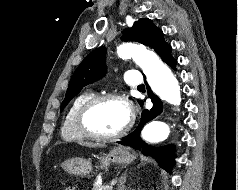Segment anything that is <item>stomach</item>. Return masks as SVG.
<instances>
[{
  "label": "stomach",
  "instance_id": "1",
  "mask_svg": "<svg viewBox=\"0 0 238 190\" xmlns=\"http://www.w3.org/2000/svg\"><path fill=\"white\" fill-rule=\"evenodd\" d=\"M135 156L125 147H115L107 155L100 157L101 168L107 169L110 164H127L132 162ZM62 167L72 175L87 176L92 170L91 161L84 158H72L66 160Z\"/></svg>",
  "mask_w": 238,
  "mask_h": 190
}]
</instances>
